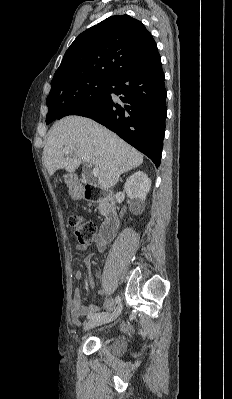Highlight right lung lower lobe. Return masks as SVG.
I'll use <instances>...</instances> for the list:
<instances>
[{"instance_id": "right-lung-lower-lobe-1", "label": "right lung lower lobe", "mask_w": 232, "mask_h": 399, "mask_svg": "<svg viewBox=\"0 0 232 399\" xmlns=\"http://www.w3.org/2000/svg\"><path fill=\"white\" fill-rule=\"evenodd\" d=\"M166 96L157 50L112 76L102 99L62 113L57 119L68 115L91 118L144 153L158 167L165 133Z\"/></svg>"}]
</instances>
